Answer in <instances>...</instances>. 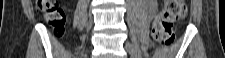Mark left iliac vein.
I'll use <instances>...</instances> for the list:
<instances>
[{"mask_svg":"<svg viewBox=\"0 0 225 58\" xmlns=\"http://www.w3.org/2000/svg\"><path fill=\"white\" fill-rule=\"evenodd\" d=\"M125 48L132 58H141L139 49L132 43H126Z\"/></svg>","mask_w":225,"mask_h":58,"instance_id":"1","label":"left iliac vein"}]
</instances>
